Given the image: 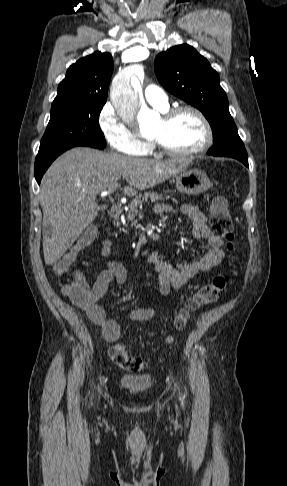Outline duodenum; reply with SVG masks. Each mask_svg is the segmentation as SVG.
Wrapping results in <instances>:
<instances>
[{
	"instance_id": "obj_1",
	"label": "duodenum",
	"mask_w": 287,
	"mask_h": 486,
	"mask_svg": "<svg viewBox=\"0 0 287 486\" xmlns=\"http://www.w3.org/2000/svg\"><path fill=\"white\" fill-rule=\"evenodd\" d=\"M121 212H122V206L120 204L116 203L111 207V209L109 211V215H110L111 218L116 219V218L119 217Z\"/></svg>"
}]
</instances>
